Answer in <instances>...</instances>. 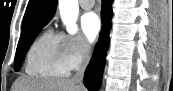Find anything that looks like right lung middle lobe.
Here are the masks:
<instances>
[{"instance_id": "obj_1", "label": "right lung middle lobe", "mask_w": 173, "mask_h": 91, "mask_svg": "<svg viewBox=\"0 0 173 91\" xmlns=\"http://www.w3.org/2000/svg\"><path fill=\"white\" fill-rule=\"evenodd\" d=\"M45 25L37 26L31 30L21 32L20 40L17 46L15 55V70L18 71L21 63L23 62L24 56L27 53L30 45L35 39L36 35Z\"/></svg>"}]
</instances>
